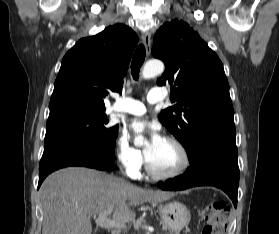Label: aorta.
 <instances>
[{"instance_id":"1","label":"aorta","mask_w":279,"mask_h":234,"mask_svg":"<svg viewBox=\"0 0 279 234\" xmlns=\"http://www.w3.org/2000/svg\"><path fill=\"white\" fill-rule=\"evenodd\" d=\"M164 64L160 60H150L148 61L142 71V76L144 79H150L156 75L163 73ZM142 136L136 138V141H142Z\"/></svg>"}]
</instances>
